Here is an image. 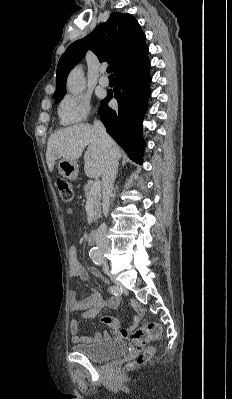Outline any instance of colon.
Masks as SVG:
<instances>
[{
	"label": "colon",
	"mask_w": 232,
	"mask_h": 399,
	"mask_svg": "<svg viewBox=\"0 0 232 399\" xmlns=\"http://www.w3.org/2000/svg\"><path fill=\"white\" fill-rule=\"evenodd\" d=\"M69 180H56L58 191H61V199L65 200L68 196V200H73V186L68 184ZM67 215H72V208H67ZM158 321H149L148 326H136V330H132L130 334V353H138L139 358H134L133 361H129V368H138L143 363H148L151 358V351H145V347H150V341H157L158 337H162V330H158ZM144 358V360H143Z\"/></svg>",
	"instance_id": "5ec220e1"
}]
</instances>
